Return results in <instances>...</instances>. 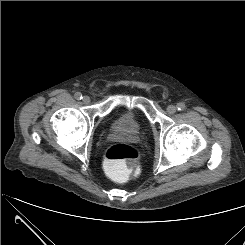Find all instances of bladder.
<instances>
[{
  "label": "bladder",
  "instance_id": "bladder-1",
  "mask_svg": "<svg viewBox=\"0 0 245 245\" xmlns=\"http://www.w3.org/2000/svg\"><path fill=\"white\" fill-rule=\"evenodd\" d=\"M114 126L119 129L136 131L140 125L134 116L128 112H124L116 117L114 120Z\"/></svg>",
  "mask_w": 245,
  "mask_h": 245
}]
</instances>
